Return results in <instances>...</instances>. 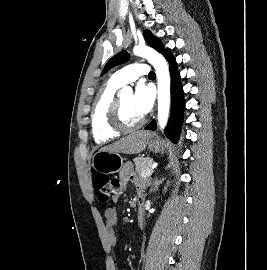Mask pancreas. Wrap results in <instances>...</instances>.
Here are the masks:
<instances>
[{
    "label": "pancreas",
    "mask_w": 267,
    "mask_h": 270,
    "mask_svg": "<svg viewBox=\"0 0 267 270\" xmlns=\"http://www.w3.org/2000/svg\"><path fill=\"white\" fill-rule=\"evenodd\" d=\"M136 172L142 176L147 171H149L154 163L152 158L146 157H137L134 159Z\"/></svg>",
    "instance_id": "obj_1"
}]
</instances>
